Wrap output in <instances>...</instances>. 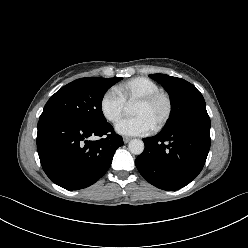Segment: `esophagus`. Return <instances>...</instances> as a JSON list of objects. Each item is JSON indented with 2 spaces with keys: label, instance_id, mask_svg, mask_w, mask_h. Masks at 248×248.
<instances>
[{
  "label": "esophagus",
  "instance_id": "esophagus-1",
  "mask_svg": "<svg viewBox=\"0 0 248 248\" xmlns=\"http://www.w3.org/2000/svg\"><path fill=\"white\" fill-rule=\"evenodd\" d=\"M131 140L130 137H123V141L124 143H128Z\"/></svg>",
  "mask_w": 248,
  "mask_h": 248
}]
</instances>
